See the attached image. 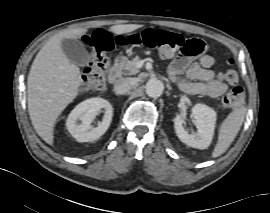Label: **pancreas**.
Instances as JSON below:
<instances>
[{
  "instance_id": "cf45deb5",
  "label": "pancreas",
  "mask_w": 270,
  "mask_h": 213,
  "mask_svg": "<svg viewBox=\"0 0 270 213\" xmlns=\"http://www.w3.org/2000/svg\"><path fill=\"white\" fill-rule=\"evenodd\" d=\"M141 59L136 56L135 58H133L132 60H127L124 61L121 65H120V70L123 71L124 74H128V75H135L139 72V68L137 67V63L140 61Z\"/></svg>"
}]
</instances>
